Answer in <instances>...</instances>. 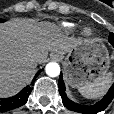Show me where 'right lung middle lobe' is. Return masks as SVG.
<instances>
[{
  "instance_id": "right-lung-middle-lobe-1",
  "label": "right lung middle lobe",
  "mask_w": 114,
  "mask_h": 114,
  "mask_svg": "<svg viewBox=\"0 0 114 114\" xmlns=\"http://www.w3.org/2000/svg\"><path fill=\"white\" fill-rule=\"evenodd\" d=\"M0 22H4V20L0 19Z\"/></svg>"
}]
</instances>
